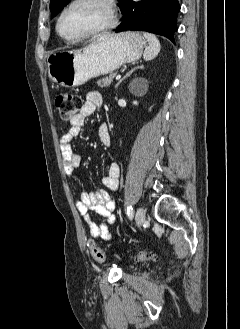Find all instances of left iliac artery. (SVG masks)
<instances>
[{"instance_id": "1", "label": "left iliac artery", "mask_w": 240, "mask_h": 329, "mask_svg": "<svg viewBox=\"0 0 240 329\" xmlns=\"http://www.w3.org/2000/svg\"><path fill=\"white\" fill-rule=\"evenodd\" d=\"M127 214H128L129 219H132L133 218L134 210H133V207L131 205H129L127 207Z\"/></svg>"}]
</instances>
